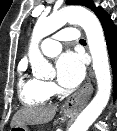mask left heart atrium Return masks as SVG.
Returning a JSON list of instances; mask_svg holds the SVG:
<instances>
[{
  "label": "left heart atrium",
  "instance_id": "obj_1",
  "mask_svg": "<svg viewBox=\"0 0 117 131\" xmlns=\"http://www.w3.org/2000/svg\"><path fill=\"white\" fill-rule=\"evenodd\" d=\"M56 68L58 82L65 88L76 87L85 75L83 58L73 52L62 54L57 61Z\"/></svg>",
  "mask_w": 117,
  "mask_h": 131
}]
</instances>
